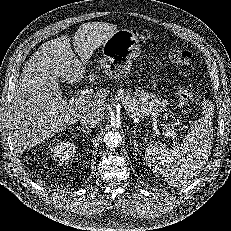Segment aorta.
Returning a JSON list of instances; mask_svg holds the SVG:
<instances>
[{
	"label": "aorta",
	"mask_w": 231,
	"mask_h": 231,
	"mask_svg": "<svg viewBox=\"0 0 231 231\" xmlns=\"http://www.w3.org/2000/svg\"><path fill=\"white\" fill-rule=\"evenodd\" d=\"M104 144L107 148H118L122 142L123 137L118 131H109L104 135Z\"/></svg>",
	"instance_id": "aorta-1"
}]
</instances>
